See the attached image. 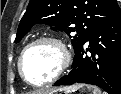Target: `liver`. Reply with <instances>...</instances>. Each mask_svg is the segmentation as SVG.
Here are the masks:
<instances>
[{
  "mask_svg": "<svg viewBox=\"0 0 121 94\" xmlns=\"http://www.w3.org/2000/svg\"><path fill=\"white\" fill-rule=\"evenodd\" d=\"M34 94H47L46 91H39L38 93H34Z\"/></svg>",
  "mask_w": 121,
  "mask_h": 94,
  "instance_id": "obj_1",
  "label": "liver"
}]
</instances>
